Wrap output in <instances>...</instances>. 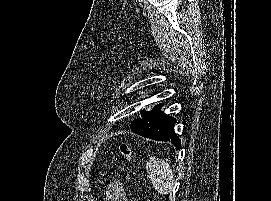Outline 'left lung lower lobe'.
Instances as JSON below:
<instances>
[{
  "label": "left lung lower lobe",
  "mask_w": 271,
  "mask_h": 201,
  "mask_svg": "<svg viewBox=\"0 0 271 201\" xmlns=\"http://www.w3.org/2000/svg\"><path fill=\"white\" fill-rule=\"evenodd\" d=\"M174 125H175V120L173 118L172 121V127L170 130V133L168 134L167 137L162 138L161 140L159 139V141H171L172 144L177 148L180 149L181 147V143H180V139L177 137L176 133L174 132ZM131 130L135 133L138 134L137 130L135 127L131 126Z\"/></svg>",
  "instance_id": "1"
}]
</instances>
